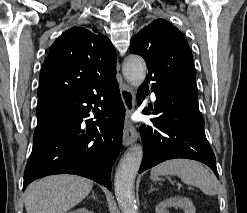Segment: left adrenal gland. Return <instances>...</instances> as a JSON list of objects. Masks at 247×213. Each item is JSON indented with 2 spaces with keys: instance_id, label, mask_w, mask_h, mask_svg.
<instances>
[{
  "instance_id": "1",
  "label": "left adrenal gland",
  "mask_w": 247,
  "mask_h": 213,
  "mask_svg": "<svg viewBox=\"0 0 247 213\" xmlns=\"http://www.w3.org/2000/svg\"><path fill=\"white\" fill-rule=\"evenodd\" d=\"M154 190H156V188H153V186L151 185V186H150L149 192H152V191H154Z\"/></svg>"
}]
</instances>
